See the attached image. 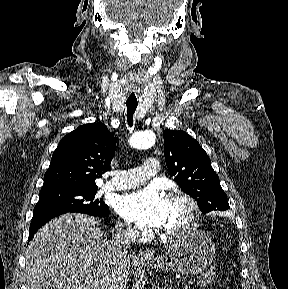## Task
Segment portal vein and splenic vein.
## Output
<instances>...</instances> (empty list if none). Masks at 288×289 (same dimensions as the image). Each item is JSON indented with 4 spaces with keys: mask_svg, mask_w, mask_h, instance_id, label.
Masks as SVG:
<instances>
[{
    "mask_svg": "<svg viewBox=\"0 0 288 289\" xmlns=\"http://www.w3.org/2000/svg\"><path fill=\"white\" fill-rule=\"evenodd\" d=\"M195 283V280H190L187 282V284L185 285L184 289H188L190 286H192Z\"/></svg>",
    "mask_w": 288,
    "mask_h": 289,
    "instance_id": "obj_1",
    "label": "portal vein and splenic vein"
}]
</instances>
